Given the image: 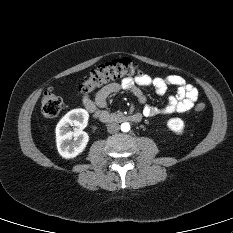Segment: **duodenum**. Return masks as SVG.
Masks as SVG:
<instances>
[{
  "label": "duodenum",
  "mask_w": 233,
  "mask_h": 233,
  "mask_svg": "<svg viewBox=\"0 0 233 233\" xmlns=\"http://www.w3.org/2000/svg\"><path fill=\"white\" fill-rule=\"evenodd\" d=\"M103 122H134L138 123L142 120L140 113L128 114V115H110L105 114L100 118Z\"/></svg>",
  "instance_id": "duodenum-1"
}]
</instances>
